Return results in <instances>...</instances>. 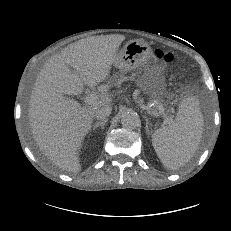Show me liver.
Returning a JSON list of instances; mask_svg holds the SVG:
<instances>
[{
    "instance_id": "obj_1",
    "label": "liver",
    "mask_w": 231,
    "mask_h": 231,
    "mask_svg": "<svg viewBox=\"0 0 231 231\" xmlns=\"http://www.w3.org/2000/svg\"><path fill=\"white\" fill-rule=\"evenodd\" d=\"M124 40L119 34L81 39L48 59L39 73L29 104L31 132L43 154L65 171L81 170L79 152L95 111L112 98L109 86H101L98 100L86 106L64 95L81 94L84 85L94 87L108 79Z\"/></svg>"
}]
</instances>
